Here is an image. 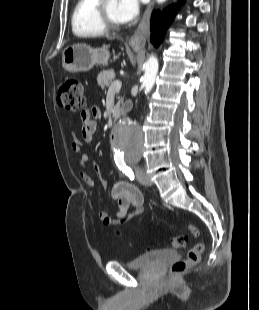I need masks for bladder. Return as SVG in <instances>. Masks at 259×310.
<instances>
[{"mask_svg":"<svg viewBox=\"0 0 259 310\" xmlns=\"http://www.w3.org/2000/svg\"><path fill=\"white\" fill-rule=\"evenodd\" d=\"M177 252L172 250H153L147 251L135 259L125 263L129 269H145L154 266L160 262L174 259Z\"/></svg>","mask_w":259,"mask_h":310,"instance_id":"obj_1","label":"bladder"}]
</instances>
